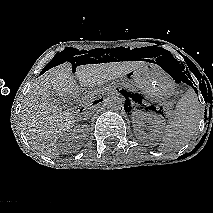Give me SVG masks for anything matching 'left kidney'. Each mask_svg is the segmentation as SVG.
<instances>
[{"mask_svg":"<svg viewBox=\"0 0 213 213\" xmlns=\"http://www.w3.org/2000/svg\"><path fill=\"white\" fill-rule=\"evenodd\" d=\"M132 123L135 134L141 140H152L163 127V121L159 116L139 110L133 113ZM146 123L149 124L150 134L145 131Z\"/></svg>","mask_w":213,"mask_h":213,"instance_id":"left-kidney-1","label":"left kidney"}]
</instances>
